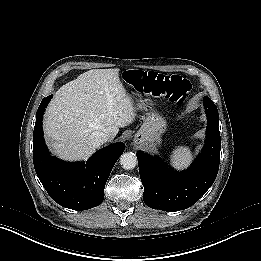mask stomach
I'll return each instance as SVG.
<instances>
[{
	"instance_id": "stomach-1",
	"label": "stomach",
	"mask_w": 261,
	"mask_h": 261,
	"mask_svg": "<svg viewBox=\"0 0 261 261\" xmlns=\"http://www.w3.org/2000/svg\"><path fill=\"white\" fill-rule=\"evenodd\" d=\"M137 109L147 113L142 117L143 123L135 134L134 141L147 150H153L161 144L162 135L167 129V122L147 102H139Z\"/></svg>"
}]
</instances>
